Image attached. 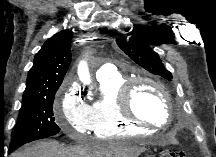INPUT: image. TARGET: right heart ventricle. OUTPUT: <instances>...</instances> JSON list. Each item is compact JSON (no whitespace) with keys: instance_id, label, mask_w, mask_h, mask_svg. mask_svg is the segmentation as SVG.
Wrapping results in <instances>:
<instances>
[{"instance_id":"obj_1","label":"right heart ventricle","mask_w":216,"mask_h":157,"mask_svg":"<svg viewBox=\"0 0 216 157\" xmlns=\"http://www.w3.org/2000/svg\"><path fill=\"white\" fill-rule=\"evenodd\" d=\"M126 81L127 77L119 72L98 80L100 96L89 106L95 137L139 136L149 130L125 119L120 113L118 92Z\"/></svg>"}]
</instances>
